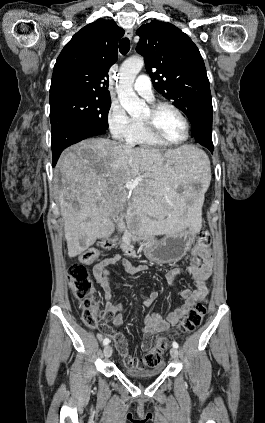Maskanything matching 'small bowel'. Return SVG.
Wrapping results in <instances>:
<instances>
[{
	"label": "small bowel",
	"instance_id": "1",
	"mask_svg": "<svg viewBox=\"0 0 265 423\" xmlns=\"http://www.w3.org/2000/svg\"><path fill=\"white\" fill-rule=\"evenodd\" d=\"M119 261L120 257L118 255H111L98 262L94 267L95 279L104 292L106 311L110 314L111 322L116 327L123 326L124 306L121 303L113 302V291L109 275L110 267ZM121 262L128 273H136L138 271L146 270L147 268L145 265H138L137 267H134L126 259H123ZM213 266L214 256L208 247L199 252L195 250L192 251L187 271L191 275L195 288H186L179 291V294L184 299V302L179 308L170 312L166 318H163L158 313H151L145 317L143 326L144 341L141 346L144 352H148L150 350L152 341L157 334L166 331L170 325H177L192 309L199 295L205 293V282L210 277ZM180 272L181 270L179 268H174L166 273V279L170 285L174 284L175 277L180 274ZM157 297V292L150 293L143 299L142 305L147 308L151 307ZM104 335H108L113 339L125 366L137 367V364L143 360L135 358L129 354L128 342L121 333H115L112 329H110L109 332L102 331V333L98 335L99 339H102Z\"/></svg>",
	"mask_w": 265,
	"mask_h": 423
}]
</instances>
